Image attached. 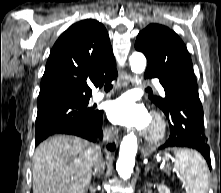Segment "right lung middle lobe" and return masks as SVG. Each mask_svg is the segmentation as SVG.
<instances>
[{"label":"right lung middle lobe","instance_id":"obj_1","mask_svg":"<svg viewBox=\"0 0 221 193\" xmlns=\"http://www.w3.org/2000/svg\"><path fill=\"white\" fill-rule=\"evenodd\" d=\"M89 99H55L38 103L36 136L68 126H91L98 111L87 107Z\"/></svg>","mask_w":221,"mask_h":193}]
</instances>
